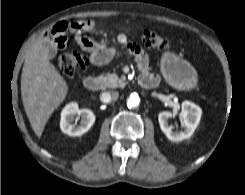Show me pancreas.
Returning <instances> with one entry per match:
<instances>
[{"label": "pancreas", "instance_id": "pancreas-1", "mask_svg": "<svg viewBox=\"0 0 245 195\" xmlns=\"http://www.w3.org/2000/svg\"><path fill=\"white\" fill-rule=\"evenodd\" d=\"M101 80L104 88L124 87L126 84L124 80L119 78L116 74H108L101 77Z\"/></svg>", "mask_w": 245, "mask_h": 195}]
</instances>
